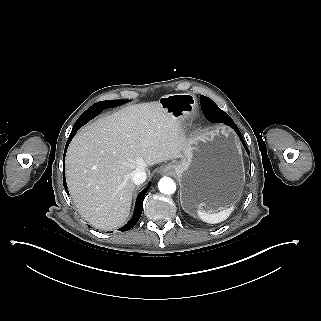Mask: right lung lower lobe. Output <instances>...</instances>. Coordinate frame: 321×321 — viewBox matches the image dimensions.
<instances>
[{
  "mask_svg": "<svg viewBox=\"0 0 321 321\" xmlns=\"http://www.w3.org/2000/svg\"><path fill=\"white\" fill-rule=\"evenodd\" d=\"M99 103L94 104L93 106H91L89 109H87L76 121V123L74 124V127L72 129L71 135L67 141L66 144V149L68 147V144L70 143V141L72 140V138L74 137V135L76 134V131L83 126L84 124H86L88 121H90L91 119H93L95 116H97L99 113L102 112L103 109L105 108H109V107H115L118 105L123 104L122 102L120 103H110V104H102L99 105ZM66 151V150H65ZM64 187L66 192L68 193L67 190V185L66 182L64 180ZM150 185H148L145 189H143L137 196V200H136V207H135V211H134V215L131 218V220L123 227H121L119 230L120 231H127L129 229H131L139 220L140 215L142 213V208H143V200H144V196L147 193L148 189H149Z\"/></svg>",
  "mask_w": 321,
  "mask_h": 321,
  "instance_id": "98d812e1",
  "label": "right lung lower lobe"
}]
</instances>
